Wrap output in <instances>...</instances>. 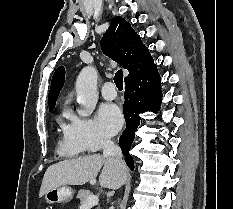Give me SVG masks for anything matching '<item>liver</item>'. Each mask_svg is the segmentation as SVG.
Segmentation results:
<instances>
[{"label": "liver", "instance_id": "liver-1", "mask_svg": "<svg viewBox=\"0 0 233 209\" xmlns=\"http://www.w3.org/2000/svg\"><path fill=\"white\" fill-rule=\"evenodd\" d=\"M103 167L99 176V183L108 189L120 188L127 175L126 166L119 164L114 159H108L99 154L63 160L50 165L43 177L39 197L60 186L83 185L94 181Z\"/></svg>", "mask_w": 233, "mask_h": 209}]
</instances>
